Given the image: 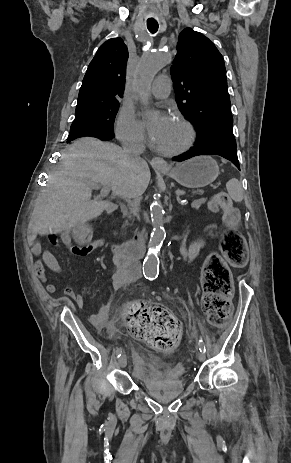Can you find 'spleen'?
Here are the masks:
<instances>
[{"label": "spleen", "instance_id": "obj_1", "mask_svg": "<svg viewBox=\"0 0 291 463\" xmlns=\"http://www.w3.org/2000/svg\"><path fill=\"white\" fill-rule=\"evenodd\" d=\"M226 188L230 197L235 202H241L243 200L244 192L242 189V185L236 178L230 179L226 184Z\"/></svg>", "mask_w": 291, "mask_h": 463}]
</instances>
